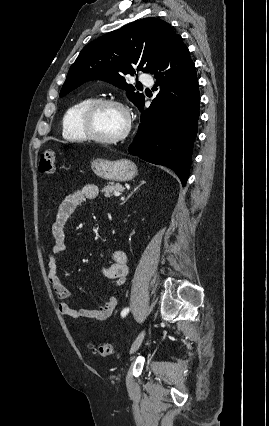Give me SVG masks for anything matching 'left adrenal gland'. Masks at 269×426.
Listing matches in <instances>:
<instances>
[{
    "instance_id": "obj_1",
    "label": "left adrenal gland",
    "mask_w": 269,
    "mask_h": 426,
    "mask_svg": "<svg viewBox=\"0 0 269 426\" xmlns=\"http://www.w3.org/2000/svg\"><path fill=\"white\" fill-rule=\"evenodd\" d=\"M143 184H145V181H141L140 182V184L136 187V188H134V190L127 196V198L122 202V204H124V203H126L127 202V200L138 190V188L140 187V186H142Z\"/></svg>"
}]
</instances>
